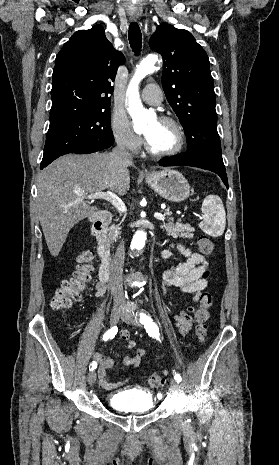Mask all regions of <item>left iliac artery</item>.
<instances>
[{
    "label": "left iliac artery",
    "instance_id": "obj_1",
    "mask_svg": "<svg viewBox=\"0 0 279 465\" xmlns=\"http://www.w3.org/2000/svg\"><path fill=\"white\" fill-rule=\"evenodd\" d=\"M140 322L141 324L144 325L146 332L149 334V336L156 338L157 340H160L159 339V328L149 315L145 313H140ZM174 379L178 383L181 382L182 380L180 374H177V373L174 374Z\"/></svg>",
    "mask_w": 279,
    "mask_h": 465
}]
</instances>
